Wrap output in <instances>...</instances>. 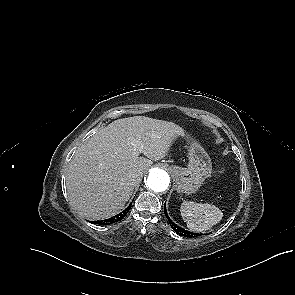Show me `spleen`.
Listing matches in <instances>:
<instances>
[{
    "instance_id": "obj_1",
    "label": "spleen",
    "mask_w": 295,
    "mask_h": 295,
    "mask_svg": "<svg viewBox=\"0 0 295 295\" xmlns=\"http://www.w3.org/2000/svg\"><path fill=\"white\" fill-rule=\"evenodd\" d=\"M180 212L187 227L194 232H203L216 225L223 217L222 211L214 205L184 201Z\"/></svg>"
}]
</instances>
